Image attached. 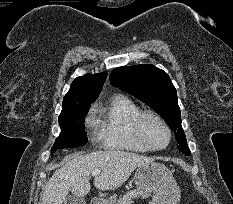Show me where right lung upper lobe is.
<instances>
[{
	"label": "right lung upper lobe",
	"mask_w": 233,
	"mask_h": 204,
	"mask_svg": "<svg viewBox=\"0 0 233 204\" xmlns=\"http://www.w3.org/2000/svg\"><path fill=\"white\" fill-rule=\"evenodd\" d=\"M107 73L85 74L76 78L63 98V108L91 105L101 92Z\"/></svg>",
	"instance_id": "right-lung-upper-lobe-1"
}]
</instances>
